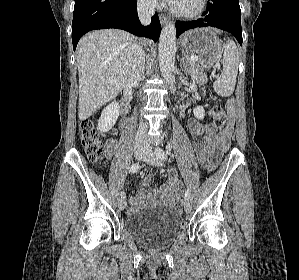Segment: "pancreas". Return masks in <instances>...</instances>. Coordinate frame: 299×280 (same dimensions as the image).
<instances>
[{
	"mask_svg": "<svg viewBox=\"0 0 299 280\" xmlns=\"http://www.w3.org/2000/svg\"><path fill=\"white\" fill-rule=\"evenodd\" d=\"M187 69L190 72L194 83L201 85L207 83L208 77L206 73H204L203 66L199 60L187 62Z\"/></svg>",
	"mask_w": 299,
	"mask_h": 280,
	"instance_id": "cf45deb5",
	"label": "pancreas"
}]
</instances>
